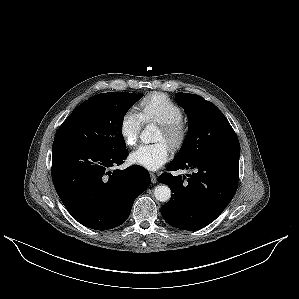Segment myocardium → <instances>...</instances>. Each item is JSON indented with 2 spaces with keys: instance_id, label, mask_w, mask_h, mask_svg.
Here are the masks:
<instances>
[{
  "instance_id": "obj_1",
  "label": "myocardium",
  "mask_w": 299,
  "mask_h": 299,
  "mask_svg": "<svg viewBox=\"0 0 299 299\" xmlns=\"http://www.w3.org/2000/svg\"><path fill=\"white\" fill-rule=\"evenodd\" d=\"M160 128L166 135L167 143L173 149L181 147L188 135V126L183 120L161 123Z\"/></svg>"
}]
</instances>
